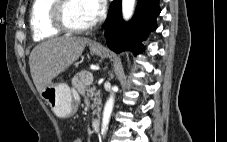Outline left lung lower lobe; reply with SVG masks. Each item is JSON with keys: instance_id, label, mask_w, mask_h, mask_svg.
<instances>
[{"instance_id": "1", "label": "left lung lower lobe", "mask_w": 227, "mask_h": 142, "mask_svg": "<svg viewBox=\"0 0 227 142\" xmlns=\"http://www.w3.org/2000/svg\"><path fill=\"white\" fill-rule=\"evenodd\" d=\"M159 0H139L133 19L125 23L122 19L121 0H114L110 7L105 25L107 45L115 52L125 50L137 55L149 31L157 28L156 17L160 14Z\"/></svg>"}]
</instances>
